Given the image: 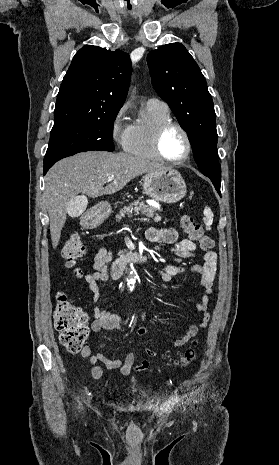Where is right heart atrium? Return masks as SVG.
<instances>
[{
    "label": "right heart atrium",
    "instance_id": "obj_1",
    "mask_svg": "<svg viewBox=\"0 0 279 465\" xmlns=\"http://www.w3.org/2000/svg\"><path fill=\"white\" fill-rule=\"evenodd\" d=\"M131 132V125L127 123V107L121 106L114 114L110 133L113 141L122 148L127 145Z\"/></svg>",
    "mask_w": 279,
    "mask_h": 465
}]
</instances>
